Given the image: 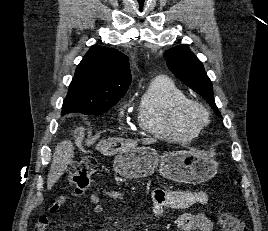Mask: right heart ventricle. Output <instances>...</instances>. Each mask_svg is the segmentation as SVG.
Instances as JSON below:
<instances>
[{
  "instance_id": "e07e8e85",
  "label": "right heart ventricle",
  "mask_w": 268,
  "mask_h": 231,
  "mask_svg": "<svg viewBox=\"0 0 268 231\" xmlns=\"http://www.w3.org/2000/svg\"><path fill=\"white\" fill-rule=\"evenodd\" d=\"M186 94L169 78L157 77L142 95L137 120L143 131L154 138L186 142L199 130L187 128L180 118Z\"/></svg>"
}]
</instances>
